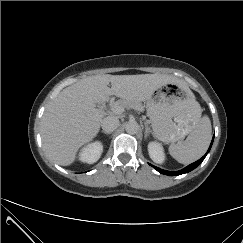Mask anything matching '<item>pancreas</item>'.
<instances>
[{
    "mask_svg": "<svg viewBox=\"0 0 243 243\" xmlns=\"http://www.w3.org/2000/svg\"><path fill=\"white\" fill-rule=\"evenodd\" d=\"M118 105L126 108V107H134L136 109H141V105L137 104V103H133L131 101H127V100H119L118 101Z\"/></svg>",
    "mask_w": 243,
    "mask_h": 243,
    "instance_id": "1",
    "label": "pancreas"
}]
</instances>
